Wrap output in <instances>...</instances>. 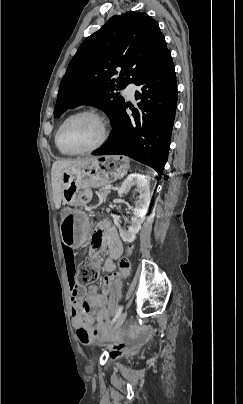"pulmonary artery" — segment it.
<instances>
[{"label": "pulmonary artery", "instance_id": "1", "mask_svg": "<svg viewBox=\"0 0 243 404\" xmlns=\"http://www.w3.org/2000/svg\"><path fill=\"white\" fill-rule=\"evenodd\" d=\"M138 90H139V87H138L136 84H134V83H128V84L125 86V88H124V90H123V93H124L130 100L134 101V100H135L136 92H137Z\"/></svg>", "mask_w": 243, "mask_h": 404}]
</instances>
